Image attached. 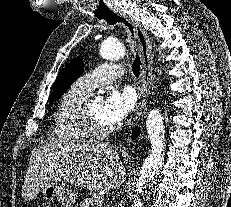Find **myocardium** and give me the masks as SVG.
Returning a JSON list of instances; mask_svg holds the SVG:
<instances>
[{"label":"myocardium","mask_w":231,"mask_h":207,"mask_svg":"<svg viewBox=\"0 0 231 207\" xmlns=\"http://www.w3.org/2000/svg\"><path fill=\"white\" fill-rule=\"evenodd\" d=\"M89 105L90 102L86 101L82 112L83 122L86 128L91 132L92 135L95 136H103L110 133L112 131V128L108 125H103L96 121L90 113Z\"/></svg>","instance_id":"1"}]
</instances>
